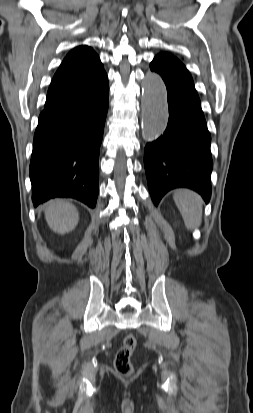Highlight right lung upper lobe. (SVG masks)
I'll return each mask as SVG.
<instances>
[{
  "label": "right lung upper lobe",
  "instance_id": "right-lung-upper-lobe-1",
  "mask_svg": "<svg viewBox=\"0 0 253 413\" xmlns=\"http://www.w3.org/2000/svg\"><path fill=\"white\" fill-rule=\"evenodd\" d=\"M106 78L103 65L92 48H74L53 77L44 110L95 92Z\"/></svg>",
  "mask_w": 253,
  "mask_h": 413
}]
</instances>
